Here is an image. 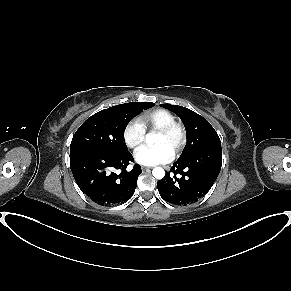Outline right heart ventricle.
Masks as SVG:
<instances>
[{
    "label": "right heart ventricle",
    "instance_id": "1",
    "mask_svg": "<svg viewBox=\"0 0 291 291\" xmlns=\"http://www.w3.org/2000/svg\"><path fill=\"white\" fill-rule=\"evenodd\" d=\"M138 121L144 129L158 130L172 122H175V116L166 109H155L146 111L138 117Z\"/></svg>",
    "mask_w": 291,
    "mask_h": 291
}]
</instances>
